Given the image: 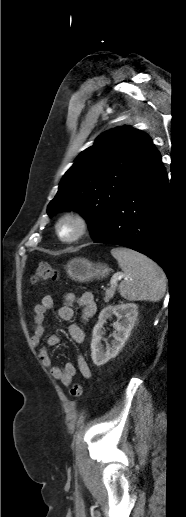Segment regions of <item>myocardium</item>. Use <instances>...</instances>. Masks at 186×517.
Listing matches in <instances>:
<instances>
[{
    "mask_svg": "<svg viewBox=\"0 0 186 517\" xmlns=\"http://www.w3.org/2000/svg\"><path fill=\"white\" fill-rule=\"evenodd\" d=\"M70 222L75 226V231L71 236H64L61 232V227L63 224ZM88 220L87 218L76 211H67L63 213L55 224V232L59 238L64 243L72 244L80 240L88 231Z\"/></svg>",
    "mask_w": 186,
    "mask_h": 517,
    "instance_id": "1",
    "label": "myocardium"
}]
</instances>
